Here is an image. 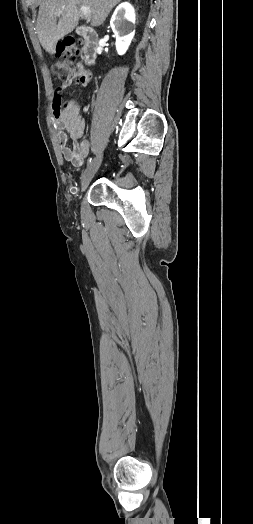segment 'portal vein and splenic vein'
Listing matches in <instances>:
<instances>
[{
	"instance_id": "portal-vein-and-splenic-vein-1",
	"label": "portal vein and splenic vein",
	"mask_w": 253,
	"mask_h": 524,
	"mask_svg": "<svg viewBox=\"0 0 253 524\" xmlns=\"http://www.w3.org/2000/svg\"><path fill=\"white\" fill-rule=\"evenodd\" d=\"M80 11L85 18H89L91 16V9L88 6L80 5Z\"/></svg>"
}]
</instances>
